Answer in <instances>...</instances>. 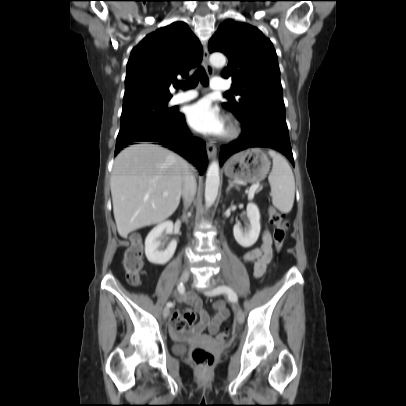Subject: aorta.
Here are the masks:
<instances>
[{
  "label": "aorta",
  "instance_id": "762f6f07",
  "mask_svg": "<svg viewBox=\"0 0 406 406\" xmlns=\"http://www.w3.org/2000/svg\"><path fill=\"white\" fill-rule=\"evenodd\" d=\"M210 63L214 67L221 68L226 64V58L221 53H213L210 56ZM219 183V162L214 160L209 165L206 175L205 203L207 206H211L215 202L218 195Z\"/></svg>",
  "mask_w": 406,
  "mask_h": 406
}]
</instances>
